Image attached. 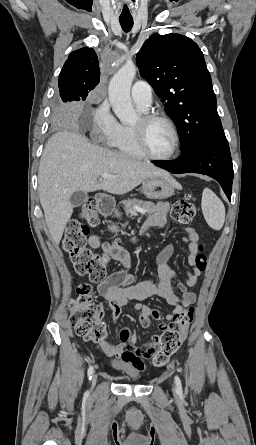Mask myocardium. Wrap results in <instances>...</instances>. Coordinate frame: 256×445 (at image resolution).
Segmentation results:
<instances>
[{
	"label": "myocardium",
	"instance_id": "1",
	"mask_svg": "<svg viewBox=\"0 0 256 445\" xmlns=\"http://www.w3.org/2000/svg\"><path fill=\"white\" fill-rule=\"evenodd\" d=\"M155 121H161L166 123L174 136V145H173V149L172 151L166 155V156H157L154 155L149 148L147 147L146 144V139H145V127ZM131 131H132V135L135 141V144L138 148V150L142 153L143 156H145L146 158H149L151 160L154 161H168L173 159L179 149H180V143H181V139H180V134L179 131L177 129L176 124L167 116L165 115H161V114H144L141 116V124L137 127H131Z\"/></svg>",
	"mask_w": 256,
	"mask_h": 445
}]
</instances>
